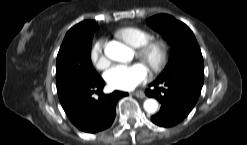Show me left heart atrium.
<instances>
[{
  "instance_id": "39dd6f15",
  "label": "left heart atrium",
  "mask_w": 247,
  "mask_h": 145,
  "mask_svg": "<svg viewBox=\"0 0 247 145\" xmlns=\"http://www.w3.org/2000/svg\"><path fill=\"white\" fill-rule=\"evenodd\" d=\"M105 80L114 89L133 90L149 79V70L142 63L116 64L105 72Z\"/></svg>"
}]
</instances>
